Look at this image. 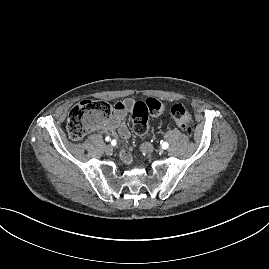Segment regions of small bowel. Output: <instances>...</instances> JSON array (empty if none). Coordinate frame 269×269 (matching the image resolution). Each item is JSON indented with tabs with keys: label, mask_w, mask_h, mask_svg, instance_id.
Masks as SVG:
<instances>
[{
	"label": "small bowel",
	"mask_w": 269,
	"mask_h": 269,
	"mask_svg": "<svg viewBox=\"0 0 269 269\" xmlns=\"http://www.w3.org/2000/svg\"><path fill=\"white\" fill-rule=\"evenodd\" d=\"M133 106L134 100L131 98L115 102L113 106V114L101 128L107 132L117 131L124 139L129 138L130 131L125 123V119L127 113L132 110ZM120 158L127 165L131 163V156L127 151H121Z\"/></svg>",
	"instance_id": "c3829d8e"
}]
</instances>
